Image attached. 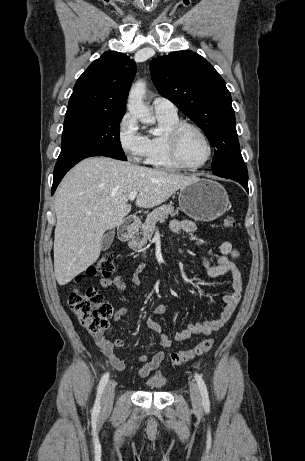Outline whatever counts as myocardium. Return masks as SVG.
<instances>
[{"label": "myocardium", "instance_id": "myocardium-1", "mask_svg": "<svg viewBox=\"0 0 305 461\" xmlns=\"http://www.w3.org/2000/svg\"><path fill=\"white\" fill-rule=\"evenodd\" d=\"M186 129H191V130H194L196 133H198L200 135V137L203 139V141L205 142L206 147H207V151H208L207 156L204 159V161L202 163L198 164V165H195V166L187 164L182 159V157L180 155V150H179L180 138H181L182 133ZM167 148H168V152H169V155H170L171 159L180 168H184V169L190 170V171H196V170H199V169L203 168L204 166H206L207 163L212 158V155H213V146H212L208 136L206 135V133L199 126H197V125H195L193 123L184 122V121H180L179 123L175 124L169 130L168 136H167Z\"/></svg>", "mask_w": 305, "mask_h": 461}]
</instances>
